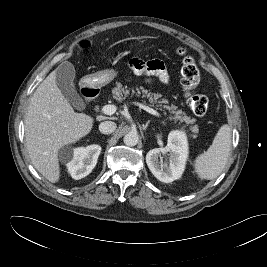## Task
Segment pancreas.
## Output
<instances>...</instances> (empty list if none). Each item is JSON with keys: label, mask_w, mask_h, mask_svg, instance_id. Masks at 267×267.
Returning <instances> with one entry per match:
<instances>
[{"label": "pancreas", "mask_w": 267, "mask_h": 267, "mask_svg": "<svg viewBox=\"0 0 267 267\" xmlns=\"http://www.w3.org/2000/svg\"><path fill=\"white\" fill-rule=\"evenodd\" d=\"M136 95L137 97H140L142 95L143 98H148L149 102L151 104H156L159 110H169L170 113L173 115L171 118L175 121H180L181 123L184 122L186 126L190 125L189 130L193 133L191 137L196 138V133H198L199 129L197 125H193L195 120L191 119L189 116H187L184 112L181 110H178L175 105H165L168 104L167 99L158 100L162 97L161 94H152L148 90L144 89L143 87H136L135 89H127V87H123L121 83H117L116 87L112 90L113 98L119 102H121L123 99L129 96V94Z\"/></svg>", "instance_id": "pancreas-1"}]
</instances>
